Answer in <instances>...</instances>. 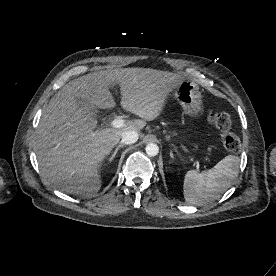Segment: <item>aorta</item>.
I'll return each mask as SVG.
<instances>
[{"label": "aorta", "instance_id": "obj_1", "mask_svg": "<svg viewBox=\"0 0 276 276\" xmlns=\"http://www.w3.org/2000/svg\"><path fill=\"white\" fill-rule=\"evenodd\" d=\"M145 150L148 156H156L159 152V147L155 143H149L146 145Z\"/></svg>", "mask_w": 276, "mask_h": 276}]
</instances>
